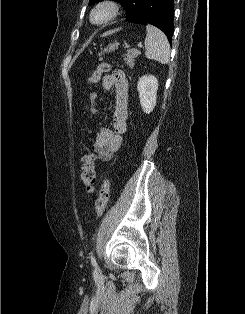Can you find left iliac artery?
I'll return each mask as SVG.
<instances>
[{"label":"left iliac artery","instance_id":"obj_1","mask_svg":"<svg viewBox=\"0 0 245 314\" xmlns=\"http://www.w3.org/2000/svg\"><path fill=\"white\" fill-rule=\"evenodd\" d=\"M91 263H92L93 266H97V263H96L94 255H91Z\"/></svg>","mask_w":245,"mask_h":314}]
</instances>
